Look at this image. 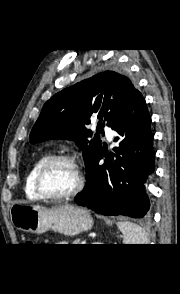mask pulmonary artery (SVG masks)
<instances>
[{"instance_id":"e3ab8cb5","label":"pulmonary artery","mask_w":180,"mask_h":294,"mask_svg":"<svg viewBox=\"0 0 180 294\" xmlns=\"http://www.w3.org/2000/svg\"><path fill=\"white\" fill-rule=\"evenodd\" d=\"M101 128L105 131L108 141H111L114 136V131L107 125H102Z\"/></svg>"}]
</instances>
